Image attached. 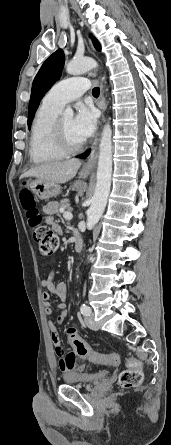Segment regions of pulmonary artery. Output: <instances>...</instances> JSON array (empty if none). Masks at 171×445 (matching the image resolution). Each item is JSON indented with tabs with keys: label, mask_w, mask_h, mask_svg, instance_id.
I'll return each instance as SVG.
<instances>
[{
	"label": "pulmonary artery",
	"mask_w": 171,
	"mask_h": 445,
	"mask_svg": "<svg viewBox=\"0 0 171 445\" xmlns=\"http://www.w3.org/2000/svg\"><path fill=\"white\" fill-rule=\"evenodd\" d=\"M89 87V81L84 77L64 79L48 91L43 102L52 107L62 109L65 104L83 95Z\"/></svg>",
	"instance_id": "e3ab8cb5"
}]
</instances>
